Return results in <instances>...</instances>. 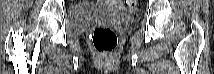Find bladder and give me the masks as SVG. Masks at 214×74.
Here are the masks:
<instances>
[{
    "label": "bladder",
    "instance_id": "31cf9c89",
    "mask_svg": "<svg viewBox=\"0 0 214 74\" xmlns=\"http://www.w3.org/2000/svg\"><path fill=\"white\" fill-rule=\"evenodd\" d=\"M67 19L71 30L78 32L83 27L95 22L114 20L118 24H126L134 19V15L130 12L106 7L77 5L70 9Z\"/></svg>",
    "mask_w": 214,
    "mask_h": 74
}]
</instances>
